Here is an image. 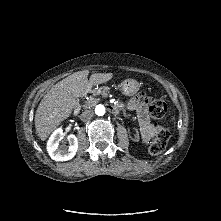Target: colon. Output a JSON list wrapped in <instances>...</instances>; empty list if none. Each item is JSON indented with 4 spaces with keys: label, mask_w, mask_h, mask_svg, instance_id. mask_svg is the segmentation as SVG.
Returning <instances> with one entry per match:
<instances>
[{
    "label": "colon",
    "mask_w": 221,
    "mask_h": 221,
    "mask_svg": "<svg viewBox=\"0 0 221 221\" xmlns=\"http://www.w3.org/2000/svg\"><path fill=\"white\" fill-rule=\"evenodd\" d=\"M167 104L160 98H152L149 101L148 112L152 118H163L167 113ZM170 132L167 128L157 125V133L149 146V153L152 156L161 154L168 143Z\"/></svg>",
    "instance_id": "5ec220e1"
}]
</instances>
